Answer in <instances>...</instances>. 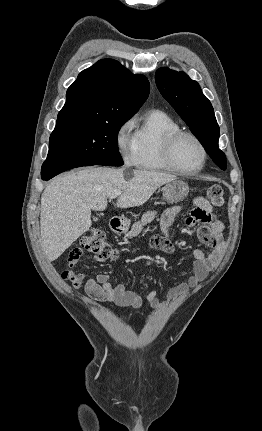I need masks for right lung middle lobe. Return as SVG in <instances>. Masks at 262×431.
<instances>
[{"instance_id": "right-lung-middle-lobe-1", "label": "right lung middle lobe", "mask_w": 262, "mask_h": 431, "mask_svg": "<svg viewBox=\"0 0 262 431\" xmlns=\"http://www.w3.org/2000/svg\"><path fill=\"white\" fill-rule=\"evenodd\" d=\"M129 118L109 121L79 120L56 125L45 162L78 161L122 166L118 132Z\"/></svg>"}]
</instances>
